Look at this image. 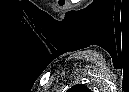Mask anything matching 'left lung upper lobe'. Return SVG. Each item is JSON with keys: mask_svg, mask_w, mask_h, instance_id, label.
Masks as SVG:
<instances>
[{"mask_svg": "<svg viewBox=\"0 0 129 92\" xmlns=\"http://www.w3.org/2000/svg\"><path fill=\"white\" fill-rule=\"evenodd\" d=\"M68 92H91L90 89H88L85 85L83 84H77L73 87H71Z\"/></svg>", "mask_w": 129, "mask_h": 92, "instance_id": "1", "label": "left lung upper lobe"}]
</instances>
